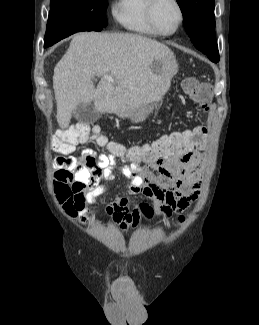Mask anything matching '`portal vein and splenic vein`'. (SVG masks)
Here are the masks:
<instances>
[{
	"label": "portal vein and splenic vein",
	"instance_id": "portal-vein-and-splenic-vein-1",
	"mask_svg": "<svg viewBox=\"0 0 259 325\" xmlns=\"http://www.w3.org/2000/svg\"><path fill=\"white\" fill-rule=\"evenodd\" d=\"M104 78H106L107 80L112 81V82L114 81L113 78L111 76H108V75H104Z\"/></svg>",
	"mask_w": 259,
	"mask_h": 325
}]
</instances>
